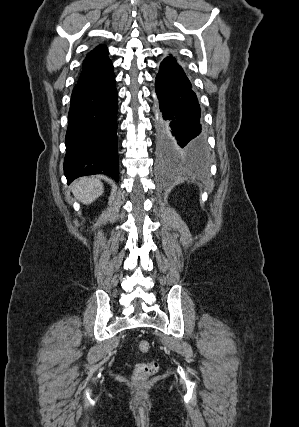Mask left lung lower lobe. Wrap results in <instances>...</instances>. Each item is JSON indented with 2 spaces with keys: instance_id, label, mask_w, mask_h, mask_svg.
Returning <instances> with one entry per match:
<instances>
[{
  "instance_id": "0a47b994",
  "label": "left lung lower lobe",
  "mask_w": 299,
  "mask_h": 427,
  "mask_svg": "<svg viewBox=\"0 0 299 427\" xmlns=\"http://www.w3.org/2000/svg\"><path fill=\"white\" fill-rule=\"evenodd\" d=\"M157 149L164 161L187 159L205 170L206 143L200 105L192 85L176 59L161 64L155 81Z\"/></svg>"
}]
</instances>
